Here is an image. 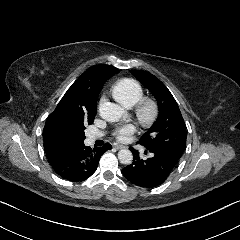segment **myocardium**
Wrapping results in <instances>:
<instances>
[{
  "mask_svg": "<svg viewBox=\"0 0 240 240\" xmlns=\"http://www.w3.org/2000/svg\"><path fill=\"white\" fill-rule=\"evenodd\" d=\"M135 114L139 123L145 127H151L159 117V106L152 98H142L135 107Z\"/></svg>",
  "mask_w": 240,
  "mask_h": 240,
  "instance_id": "1",
  "label": "myocardium"
}]
</instances>
